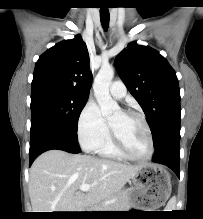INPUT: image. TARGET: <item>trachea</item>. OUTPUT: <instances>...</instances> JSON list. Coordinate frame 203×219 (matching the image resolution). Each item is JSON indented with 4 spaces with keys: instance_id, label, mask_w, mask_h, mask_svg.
Here are the masks:
<instances>
[{
    "instance_id": "1",
    "label": "trachea",
    "mask_w": 203,
    "mask_h": 219,
    "mask_svg": "<svg viewBox=\"0 0 203 219\" xmlns=\"http://www.w3.org/2000/svg\"><path fill=\"white\" fill-rule=\"evenodd\" d=\"M100 20L103 27L106 29L109 24V11H100Z\"/></svg>"
}]
</instances>
